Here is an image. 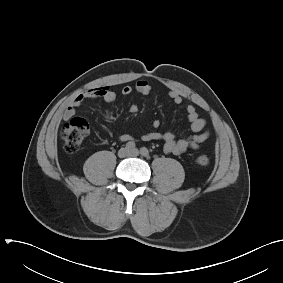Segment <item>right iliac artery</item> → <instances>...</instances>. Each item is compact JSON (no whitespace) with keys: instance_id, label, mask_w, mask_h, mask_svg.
I'll use <instances>...</instances> for the list:
<instances>
[{"instance_id":"right-iliac-artery-1","label":"right iliac artery","mask_w":283,"mask_h":283,"mask_svg":"<svg viewBox=\"0 0 283 283\" xmlns=\"http://www.w3.org/2000/svg\"><path fill=\"white\" fill-rule=\"evenodd\" d=\"M135 147H136V145H135V143L134 142H128V143H126V148L128 149V150H133V149H135Z\"/></svg>"}]
</instances>
